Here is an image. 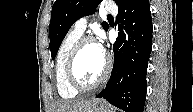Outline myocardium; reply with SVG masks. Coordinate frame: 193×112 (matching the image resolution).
Masks as SVG:
<instances>
[{
    "label": "myocardium",
    "mask_w": 193,
    "mask_h": 112,
    "mask_svg": "<svg viewBox=\"0 0 193 112\" xmlns=\"http://www.w3.org/2000/svg\"><path fill=\"white\" fill-rule=\"evenodd\" d=\"M91 42L97 43V40L92 36L80 37L75 42L73 47L71 48L70 53L68 55L67 63H66L67 79H68L70 85L75 90L80 91V92L90 91V90L96 89L97 87L102 85L105 82V80L107 79V77L110 73V70H111L110 57L108 55H105L104 70H103L102 74L100 75V77L94 83L85 84L79 80V78L76 75V71H75L76 59H77L78 54L80 53L81 49L83 48V46L85 44L91 43Z\"/></svg>",
    "instance_id": "1"
}]
</instances>
